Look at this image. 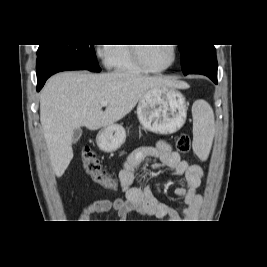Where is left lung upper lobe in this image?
<instances>
[{
	"label": "left lung upper lobe",
	"instance_id": "5c2ea615",
	"mask_svg": "<svg viewBox=\"0 0 267 267\" xmlns=\"http://www.w3.org/2000/svg\"><path fill=\"white\" fill-rule=\"evenodd\" d=\"M179 50L185 75L201 60L216 56L213 45H179Z\"/></svg>",
	"mask_w": 267,
	"mask_h": 267
}]
</instances>
